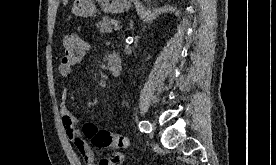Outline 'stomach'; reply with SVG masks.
Wrapping results in <instances>:
<instances>
[{
  "mask_svg": "<svg viewBox=\"0 0 276 165\" xmlns=\"http://www.w3.org/2000/svg\"><path fill=\"white\" fill-rule=\"evenodd\" d=\"M105 13H122L131 7L132 0H97ZM97 12L93 0H75L72 13L79 17H91Z\"/></svg>",
  "mask_w": 276,
  "mask_h": 165,
  "instance_id": "stomach-1",
  "label": "stomach"
}]
</instances>
